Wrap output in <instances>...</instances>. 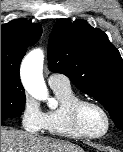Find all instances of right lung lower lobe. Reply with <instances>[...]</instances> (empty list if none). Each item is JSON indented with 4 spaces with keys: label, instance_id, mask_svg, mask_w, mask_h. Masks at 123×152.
Instances as JSON below:
<instances>
[{
    "label": "right lung lower lobe",
    "instance_id": "98d812e1",
    "mask_svg": "<svg viewBox=\"0 0 123 152\" xmlns=\"http://www.w3.org/2000/svg\"><path fill=\"white\" fill-rule=\"evenodd\" d=\"M5 124V122L4 121H1V125H4Z\"/></svg>",
    "mask_w": 123,
    "mask_h": 152
}]
</instances>
